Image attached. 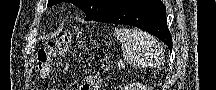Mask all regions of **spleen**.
<instances>
[{
  "mask_svg": "<svg viewBox=\"0 0 216 90\" xmlns=\"http://www.w3.org/2000/svg\"><path fill=\"white\" fill-rule=\"evenodd\" d=\"M115 38L121 44L123 58L134 68H148L154 64L158 66L162 48L147 32L122 28V30H116Z\"/></svg>",
  "mask_w": 216,
  "mask_h": 90,
  "instance_id": "spleen-1",
  "label": "spleen"
}]
</instances>
